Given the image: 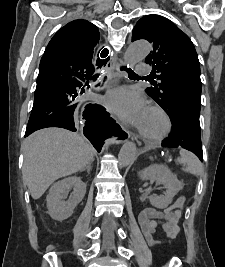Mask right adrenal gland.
<instances>
[{
	"label": "right adrenal gland",
	"mask_w": 225,
	"mask_h": 267,
	"mask_svg": "<svg viewBox=\"0 0 225 267\" xmlns=\"http://www.w3.org/2000/svg\"><path fill=\"white\" fill-rule=\"evenodd\" d=\"M93 161H94V159H93ZM93 161H92V162H93ZM92 162H91L90 164H88L87 167H86L84 170H82V171H85V170H86L87 173L90 174V171H91V168H92V167H91Z\"/></svg>",
	"instance_id": "obj_1"
}]
</instances>
